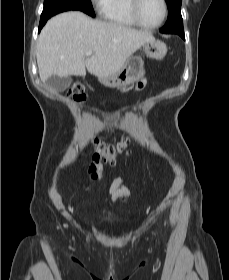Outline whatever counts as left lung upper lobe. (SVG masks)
<instances>
[{"label": "left lung upper lobe", "mask_w": 229, "mask_h": 280, "mask_svg": "<svg viewBox=\"0 0 229 280\" xmlns=\"http://www.w3.org/2000/svg\"><path fill=\"white\" fill-rule=\"evenodd\" d=\"M168 6V19L160 29L162 33H178L183 31V20L181 16L182 0H165Z\"/></svg>", "instance_id": "left-lung-upper-lobe-1"}]
</instances>
